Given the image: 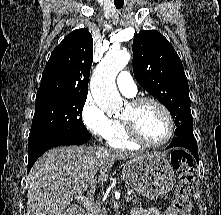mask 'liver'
<instances>
[{"label":"liver","mask_w":221,"mask_h":215,"mask_svg":"<svg viewBox=\"0 0 221 215\" xmlns=\"http://www.w3.org/2000/svg\"><path fill=\"white\" fill-rule=\"evenodd\" d=\"M145 154L93 148L58 147L44 153L28 175L26 215H68L73 197L104 183L116 160Z\"/></svg>","instance_id":"1"}]
</instances>
